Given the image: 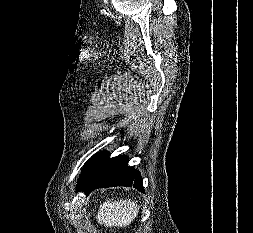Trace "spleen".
Returning <instances> with one entry per match:
<instances>
[{"instance_id": "obj_1", "label": "spleen", "mask_w": 253, "mask_h": 233, "mask_svg": "<svg viewBox=\"0 0 253 233\" xmlns=\"http://www.w3.org/2000/svg\"><path fill=\"white\" fill-rule=\"evenodd\" d=\"M138 212L139 205L132 199L107 200L100 205L96 219L105 227H126L133 222Z\"/></svg>"}]
</instances>
